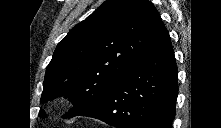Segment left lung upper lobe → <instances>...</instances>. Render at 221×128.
<instances>
[{"instance_id":"left-lung-upper-lobe-1","label":"left lung upper lobe","mask_w":221,"mask_h":128,"mask_svg":"<svg viewBox=\"0 0 221 128\" xmlns=\"http://www.w3.org/2000/svg\"><path fill=\"white\" fill-rule=\"evenodd\" d=\"M165 26L148 0H107L74 26L47 66L41 102L65 96L72 118L101 101ZM41 117H46L43 110Z\"/></svg>"}]
</instances>
